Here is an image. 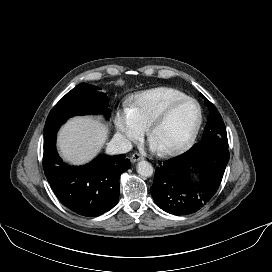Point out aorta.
Listing matches in <instances>:
<instances>
[{
    "instance_id": "obj_1",
    "label": "aorta",
    "mask_w": 272,
    "mask_h": 272,
    "mask_svg": "<svg viewBox=\"0 0 272 272\" xmlns=\"http://www.w3.org/2000/svg\"><path fill=\"white\" fill-rule=\"evenodd\" d=\"M137 172L144 177L152 176L154 170L152 165L147 161H140L137 165Z\"/></svg>"
}]
</instances>
